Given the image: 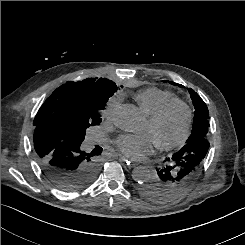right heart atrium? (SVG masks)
<instances>
[{
  "instance_id": "d8ad5b80",
  "label": "right heart atrium",
  "mask_w": 245,
  "mask_h": 245,
  "mask_svg": "<svg viewBox=\"0 0 245 245\" xmlns=\"http://www.w3.org/2000/svg\"><path fill=\"white\" fill-rule=\"evenodd\" d=\"M118 105H119V99L117 97L110 98L105 107L104 115L108 118H111Z\"/></svg>"
}]
</instances>
